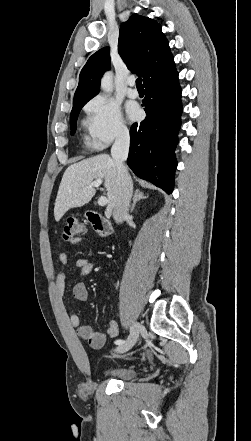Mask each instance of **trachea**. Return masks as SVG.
Segmentation results:
<instances>
[{
    "instance_id": "3493384b",
    "label": "trachea",
    "mask_w": 251,
    "mask_h": 441,
    "mask_svg": "<svg viewBox=\"0 0 251 441\" xmlns=\"http://www.w3.org/2000/svg\"><path fill=\"white\" fill-rule=\"evenodd\" d=\"M136 86H137V88L143 87L142 79L140 77L136 79Z\"/></svg>"
}]
</instances>
